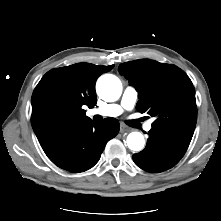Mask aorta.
<instances>
[{"instance_id":"aorta-1","label":"aorta","mask_w":221,"mask_h":221,"mask_svg":"<svg viewBox=\"0 0 221 221\" xmlns=\"http://www.w3.org/2000/svg\"><path fill=\"white\" fill-rule=\"evenodd\" d=\"M96 89L100 98L113 102L118 100L122 93V83L115 75L104 74L99 77ZM126 141L129 149L133 151H141L144 148L145 140L140 132H131Z\"/></svg>"}]
</instances>
